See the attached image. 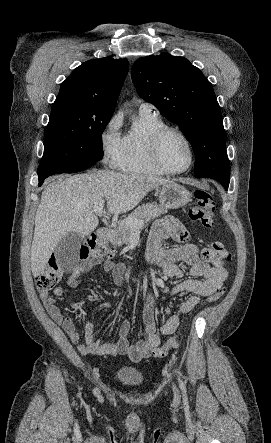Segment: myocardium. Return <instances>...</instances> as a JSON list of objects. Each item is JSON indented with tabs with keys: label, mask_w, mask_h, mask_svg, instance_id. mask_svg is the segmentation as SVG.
Returning a JSON list of instances; mask_svg holds the SVG:
<instances>
[{
	"label": "myocardium",
	"mask_w": 271,
	"mask_h": 443,
	"mask_svg": "<svg viewBox=\"0 0 271 443\" xmlns=\"http://www.w3.org/2000/svg\"><path fill=\"white\" fill-rule=\"evenodd\" d=\"M170 133L178 134L180 137H182L184 139V141L186 142V144L189 147L190 162L183 169H179V170L171 169L166 165V163L162 159L161 145H162L164 138ZM150 154H151V158H152L153 162L155 163V165L158 168H160L164 173H167V174L185 173L193 167L194 162H195V148H194L192 141L182 130H180L179 128L173 127V126L166 125L160 129H158L153 134L151 142H150Z\"/></svg>",
	"instance_id": "1"
}]
</instances>
